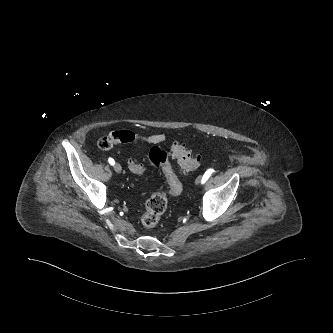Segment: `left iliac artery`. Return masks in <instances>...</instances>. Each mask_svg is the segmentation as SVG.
Instances as JSON below:
<instances>
[{"instance_id": "44dca946", "label": "left iliac artery", "mask_w": 333, "mask_h": 333, "mask_svg": "<svg viewBox=\"0 0 333 333\" xmlns=\"http://www.w3.org/2000/svg\"><path fill=\"white\" fill-rule=\"evenodd\" d=\"M213 173V169H208L202 177L201 183L204 184Z\"/></svg>"}]
</instances>
